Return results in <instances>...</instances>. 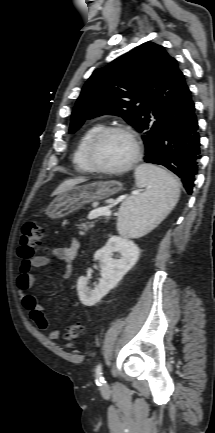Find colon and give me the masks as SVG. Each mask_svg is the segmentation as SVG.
Listing matches in <instances>:
<instances>
[{"label": "colon", "instance_id": "obj_1", "mask_svg": "<svg viewBox=\"0 0 215 433\" xmlns=\"http://www.w3.org/2000/svg\"><path fill=\"white\" fill-rule=\"evenodd\" d=\"M43 238V229L35 221H29L24 224L21 232V241L19 254L21 257H30L34 251L41 245ZM82 333V325L75 323L67 327L66 337L68 340L78 338Z\"/></svg>", "mask_w": 215, "mask_h": 433}]
</instances>
